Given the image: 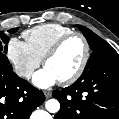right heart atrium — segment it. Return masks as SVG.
<instances>
[{"label": "right heart atrium", "instance_id": "1", "mask_svg": "<svg viewBox=\"0 0 119 119\" xmlns=\"http://www.w3.org/2000/svg\"><path fill=\"white\" fill-rule=\"evenodd\" d=\"M7 56L16 74L24 79H29L41 64V60L34 55L28 44L16 37L8 42Z\"/></svg>", "mask_w": 119, "mask_h": 119}]
</instances>
